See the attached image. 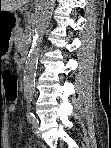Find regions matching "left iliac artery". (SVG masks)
<instances>
[{"mask_svg": "<svg viewBox=\"0 0 111 148\" xmlns=\"http://www.w3.org/2000/svg\"><path fill=\"white\" fill-rule=\"evenodd\" d=\"M27 120L30 123H35L36 122V117L35 115L30 111V106H28V112H27Z\"/></svg>", "mask_w": 111, "mask_h": 148, "instance_id": "1", "label": "left iliac artery"}]
</instances>
